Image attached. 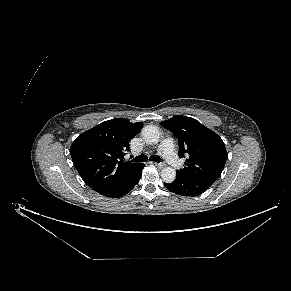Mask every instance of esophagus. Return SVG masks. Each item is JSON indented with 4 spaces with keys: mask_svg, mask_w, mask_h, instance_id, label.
I'll use <instances>...</instances> for the list:
<instances>
[{
    "mask_svg": "<svg viewBox=\"0 0 291 291\" xmlns=\"http://www.w3.org/2000/svg\"><path fill=\"white\" fill-rule=\"evenodd\" d=\"M155 165L159 168V169H162L165 167V164L164 163H155Z\"/></svg>",
    "mask_w": 291,
    "mask_h": 291,
    "instance_id": "obj_1",
    "label": "esophagus"
}]
</instances>
